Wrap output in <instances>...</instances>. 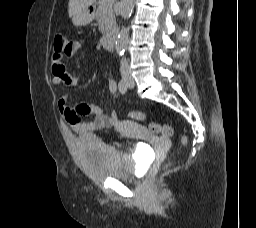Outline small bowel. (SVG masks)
Instances as JSON below:
<instances>
[{
    "mask_svg": "<svg viewBox=\"0 0 256 228\" xmlns=\"http://www.w3.org/2000/svg\"><path fill=\"white\" fill-rule=\"evenodd\" d=\"M81 47L82 43L80 41H71L67 44V47L62 54H53L52 81L54 84H64L70 88L78 85V78L68 73L63 63V59L72 58ZM107 86L110 94L115 96V81L109 80ZM57 104L62 117L75 132H91L109 127H118L120 125V120L115 111L106 115L98 105L87 103L70 105L68 96H62ZM89 115H92L93 119L84 121L83 117Z\"/></svg>",
    "mask_w": 256,
    "mask_h": 228,
    "instance_id": "c3829d8e",
    "label": "small bowel"
}]
</instances>
